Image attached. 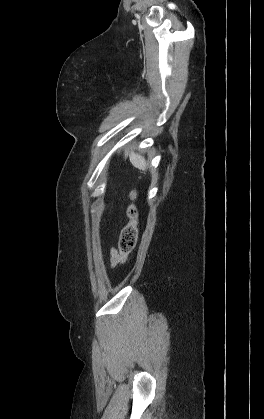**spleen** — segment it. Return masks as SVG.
<instances>
[{"label":"spleen","instance_id":"3e777b00","mask_svg":"<svg viewBox=\"0 0 264 419\" xmlns=\"http://www.w3.org/2000/svg\"><path fill=\"white\" fill-rule=\"evenodd\" d=\"M130 162L132 163L134 167L138 168L139 170L145 171L146 166H147L146 161L139 154L131 153Z\"/></svg>","mask_w":264,"mask_h":419}]
</instances>
